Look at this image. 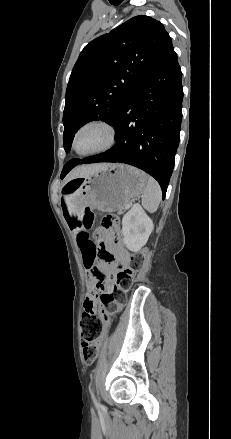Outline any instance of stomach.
<instances>
[{"label": "stomach", "instance_id": "0dacf381", "mask_svg": "<svg viewBox=\"0 0 231 439\" xmlns=\"http://www.w3.org/2000/svg\"><path fill=\"white\" fill-rule=\"evenodd\" d=\"M79 187L68 196L70 216L82 217L87 206L105 212L122 210L144 191L147 175L132 166L110 164L88 177H79Z\"/></svg>", "mask_w": 231, "mask_h": 439}]
</instances>
